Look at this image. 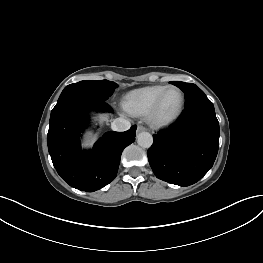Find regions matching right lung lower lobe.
Here are the masks:
<instances>
[{
    "label": "right lung lower lobe",
    "mask_w": 263,
    "mask_h": 263,
    "mask_svg": "<svg viewBox=\"0 0 263 263\" xmlns=\"http://www.w3.org/2000/svg\"><path fill=\"white\" fill-rule=\"evenodd\" d=\"M112 112L106 101L73 97L57 103L51 112L47 137L48 150L58 174L70 186L93 192L115 179L121 153L135 141L136 126L125 132L109 131L83 152L80 133L88 123V112Z\"/></svg>",
    "instance_id": "98d812e1"
}]
</instances>
